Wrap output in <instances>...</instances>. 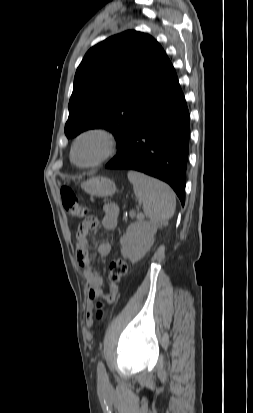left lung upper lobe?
Segmentation results:
<instances>
[{"label":"left lung upper lobe","instance_id":"obj_1","mask_svg":"<svg viewBox=\"0 0 253 413\" xmlns=\"http://www.w3.org/2000/svg\"><path fill=\"white\" fill-rule=\"evenodd\" d=\"M171 64L161 45L134 30L92 47L77 68L65 134L106 128L119 153L129 122Z\"/></svg>","mask_w":253,"mask_h":413}]
</instances>
